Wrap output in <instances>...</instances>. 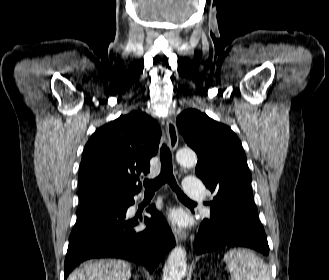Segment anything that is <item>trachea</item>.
<instances>
[{"label": "trachea", "instance_id": "obj_1", "mask_svg": "<svg viewBox=\"0 0 329 280\" xmlns=\"http://www.w3.org/2000/svg\"><path fill=\"white\" fill-rule=\"evenodd\" d=\"M160 161H161V173L158 177L149 180H144L145 191H155L159 189L163 184L168 183L173 191L176 192L177 196L184 201L195 203L191 201L178 187L175 177L173 175L172 156L170 149L164 143L160 150Z\"/></svg>", "mask_w": 329, "mask_h": 280}]
</instances>
